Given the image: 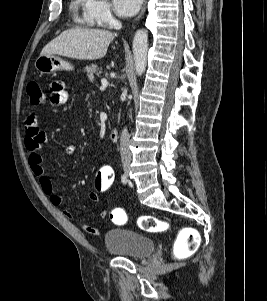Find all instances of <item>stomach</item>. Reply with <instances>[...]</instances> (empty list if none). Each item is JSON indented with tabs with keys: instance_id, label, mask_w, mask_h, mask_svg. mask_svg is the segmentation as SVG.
I'll use <instances>...</instances> for the list:
<instances>
[{
	"instance_id": "1",
	"label": "stomach",
	"mask_w": 267,
	"mask_h": 301,
	"mask_svg": "<svg viewBox=\"0 0 267 301\" xmlns=\"http://www.w3.org/2000/svg\"><path fill=\"white\" fill-rule=\"evenodd\" d=\"M35 68L41 73L51 74L57 71H72L73 65L54 55H41L35 62Z\"/></svg>"
}]
</instances>
